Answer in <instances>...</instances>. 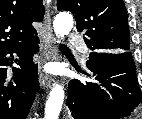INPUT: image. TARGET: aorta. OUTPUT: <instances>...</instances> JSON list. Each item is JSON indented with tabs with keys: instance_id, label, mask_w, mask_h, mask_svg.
Masks as SVG:
<instances>
[{
	"instance_id": "aorta-1",
	"label": "aorta",
	"mask_w": 142,
	"mask_h": 119,
	"mask_svg": "<svg viewBox=\"0 0 142 119\" xmlns=\"http://www.w3.org/2000/svg\"><path fill=\"white\" fill-rule=\"evenodd\" d=\"M73 17L67 12H60L53 21V28L58 38L68 35L73 28ZM64 101V90L60 84H56L48 97L45 106L44 119H58Z\"/></svg>"
}]
</instances>
